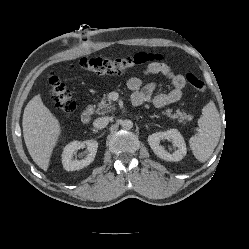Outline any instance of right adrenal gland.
<instances>
[{"mask_svg": "<svg viewBox=\"0 0 249 249\" xmlns=\"http://www.w3.org/2000/svg\"><path fill=\"white\" fill-rule=\"evenodd\" d=\"M93 132H95V133H96V132H97V130L93 129Z\"/></svg>", "mask_w": 249, "mask_h": 249, "instance_id": "right-adrenal-gland-1", "label": "right adrenal gland"}]
</instances>
